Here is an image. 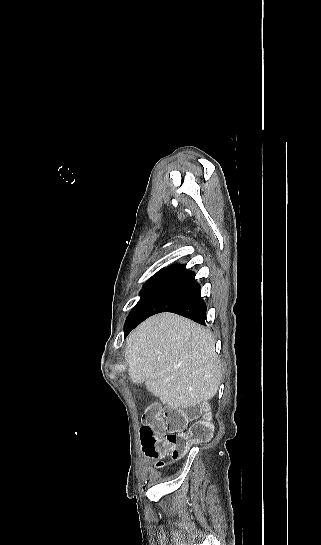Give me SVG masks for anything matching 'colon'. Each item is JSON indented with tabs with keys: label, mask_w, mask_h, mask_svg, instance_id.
Here are the masks:
<instances>
[{
	"label": "colon",
	"mask_w": 321,
	"mask_h": 545,
	"mask_svg": "<svg viewBox=\"0 0 321 545\" xmlns=\"http://www.w3.org/2000/svg\"><path fill=\"white\" fill-rule=\"evenodd\" d=\"M202 412L203 409L197 407L175 409L149 403L140 428L146 456L157 458L166 452L173 459H179L191 445L209 441L214 435L215 426L211 416ZM189 423L190 427L185 430Z\"/></svg>",
	"instance_id": "obj_1"
}]
</instances>
